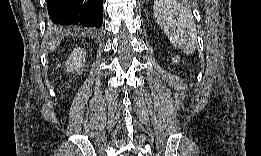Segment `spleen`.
I'll return each mask as SVG.
<instances>
[{
	"label": "spleen",
	"instance_id": "1",
	"mask_svg": "<svg viewBox=\"0 0 261 156\" xmlns=\"http://www.w3.org/2000/svg\"><path fill=\"white\" fill-rule=\"evenodd\" d=\"M154 18L170 43L191 55L196 49V26L189 7L175 0H158L153 6Z\"/></svg>",
	"mask_w": 261,
	"mask_h": 156
}]
</instances>
